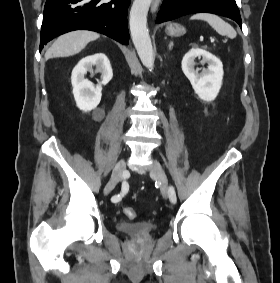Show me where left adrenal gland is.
I'll list each match as a JSON object with an SVG mask.
<instances>
[{
  "mask_svg": "<svg viewBox=\"0 0 280 283\" xmlns=\"http://www.w3.org/2000/svg\"><path fill=\"white\" fill-rule=\"evenodd\" d=\"M173 42L172 41H170V43H169V50H171L172 49V47H173Z\"/></svg>",
  "mask_w": 280,
  "mask_h": 283,
  "instance_id": "obj_1",
  "label": "left adrenal gland"
}]
</instances>
